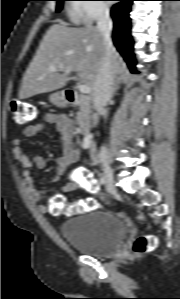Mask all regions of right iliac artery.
<instances>
[{"label":"right iliac artery","mask_w":180,"mask_h":299,"mask_svg":"<svg viewBox=\"0 0 180 299\" xmlns=\"http://www.w3.org/2000/svg\"><path fill=\"white\" fill-rule=\"evenodd\" d=\"M100 183H101L102 185L105 184V178H104V177H101V178H100Z\"/></svg>","instance_id":"obj_1"}]
</instances>
